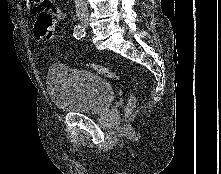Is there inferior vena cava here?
I'll return each mask as SVG.
<instances>
[{"label":"inferior vena cava","mask_w":221,"mask_h":174,"mask_svg":"<svg viewBox=\"0 0 221 174\" xmlns=\"http://www.w3.org/2000/svg\"><path fill=\"white\" fill-rule=\"evenodd\" d=\"M75 1V9L76 15L80 17L88 16V6L86 0H74Z\"/></svg>","instance_id":"inferior-vena-cava-1"}]
</instances>
